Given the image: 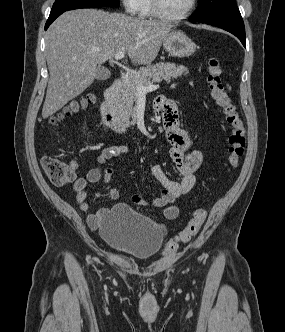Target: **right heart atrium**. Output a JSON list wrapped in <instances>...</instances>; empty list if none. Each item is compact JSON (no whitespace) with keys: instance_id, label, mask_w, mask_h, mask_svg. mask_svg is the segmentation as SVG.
Segmentation results:
<instances>
[{"instance_id":"d8ad5b80","label":"right heart atrium","mask_w":285,"mask_h":332,"mask_svg":"<svg viewBox=\"0 0 285 332\" xmlns=\"http://www.w3.org/2000/svg\"><path fill=\"white\" fill-rule=\"evenodd\" d=\"M125 11L129 14H135L139 10L140 0H121Z\"/></svg>"}]
</instances>
